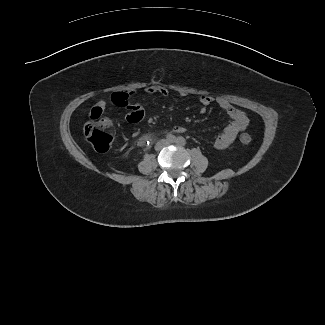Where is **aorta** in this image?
<instances>
[{"label":"aorta","mask_w":325,"mask_h":325,"mask_svg":"<svg viewBox=\"0 0 325 325\" xmlns=\"http://www.w3.org/2000/svg\"><path fill=\"white\" fill-rule=\"evenodd\" d=\"M181 143H184V139L181 140Z\"/></svg>","instance_id":"762f6f07"}]
</instances>
